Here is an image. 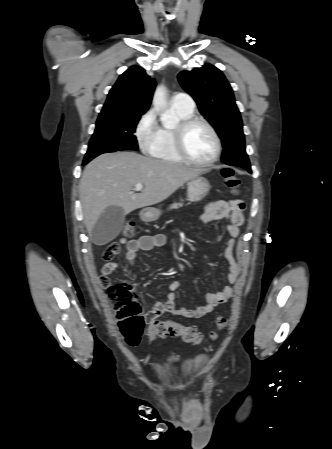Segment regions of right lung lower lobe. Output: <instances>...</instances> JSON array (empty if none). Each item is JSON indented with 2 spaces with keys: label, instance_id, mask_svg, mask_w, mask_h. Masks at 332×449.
<instances>
[{
  "label": "right lung lower lobe",
  "instance_id": "1",
  "mask_svg": "<svg viewBox=\"0 0 332 449\" xmlns=\"http://www.w3.org/2000/svg\"><path fill=\"white\" fill-rule=\"evenodd\" d=\"M88 162H83V165L87 164Z\"/></svg>",
  "mask_w": 332,
  "mask_h": 449
}]
</instances>
